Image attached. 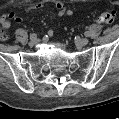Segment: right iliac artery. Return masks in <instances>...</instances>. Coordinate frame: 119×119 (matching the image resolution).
Instances as JSON below:
<instances>
[{"label":"right iliac artery","instance_id":"obj_1","mask_svg":"<svg viewBox=\"0 0 119 119\" xmlns=\"http://www.w3.org/2000/svg\"><path fill=\"white\" fill-rule=\"evenodd\" d=\"M36 38H37V34H35V33L30 34V39L31 40L36 39Z\"/></svg>","mask_w":119,"mask_h":119}]
</instances>
